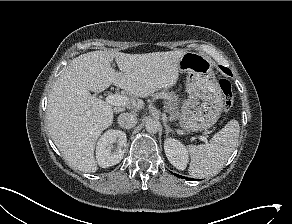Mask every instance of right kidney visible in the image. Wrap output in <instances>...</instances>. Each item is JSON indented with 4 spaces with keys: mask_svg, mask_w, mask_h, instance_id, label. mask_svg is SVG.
Segmentation results:
<instances>
[{
    "mask_svg": "<svg viewBox=\"0 0 292 224\" xmlns=\"http://www.w3.org/2000/svg\"><path fill=\"white\" fill-rule=\"evenodd\" d=\"M117 148L113 150V144ZM127 136L123 131L108 130L98 140L96 146V161L102 168L118 164L125 153Z\"/></svg>",
    "mask_w": 292,
    "mask_h": 224,
    "instance_id": "obj_1",
    "label": "right kidney"
}]
</instances>
